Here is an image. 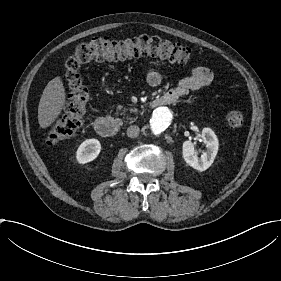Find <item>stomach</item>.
<instances>
[{
  "mask_svg": "<svg viewBox=\"0 0 281 281\" xmlns=\"http://www.w3.org/2000/svg\"><path fill=\"white\" fill-rule=\"evenodd\" d=\"M104 88H105V89H107V88H108V86H107V85H104Z\"/></svg>",
  "mask_w": 281,
  "mask_h": 281,
  "instance_id": "obj_1",
  "label": "stomach"
}]
</instances>
